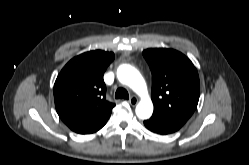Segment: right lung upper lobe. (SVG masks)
Here are the masks:
<instances>
[{"instance_id":"1","label":"right lung upper lobe","mask_w":249,"mask_h":165,"mask_svg":"<svg viewBox=\"0 0 249 165\" xmlns=\"http://www.w3.org/2000/svg\"><path fill=\"white\" fill-rule=\"evenodd\" d=\"M112 52L95 50L70 60L54 84V101L61 120L74 132L89 134L105 125L115 106L106 100L103 74Z\"/></svg>"}]
</instances>
